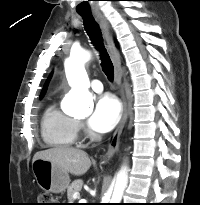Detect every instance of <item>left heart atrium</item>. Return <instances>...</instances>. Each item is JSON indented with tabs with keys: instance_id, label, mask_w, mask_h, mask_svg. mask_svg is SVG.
Segmentation results:
<instances>
[{
	"instance_id": "left-heart-atrium-1",
	"label": "left heart atrium",
	"mask_w": 200,
	"mask_h": 205,
	"mask_svg": "<svg viewBox=\"0 0 200 205\" xmlns=\"http://www.w3.org/2000/svg\"><path fill=\"white\" fill-rule=\"evenodd\" d=\"M120 113L118 101L110 94L102 95L95 104L89 125L97 132H108L118 123Z\"/></svg>"
}]
</instances>
